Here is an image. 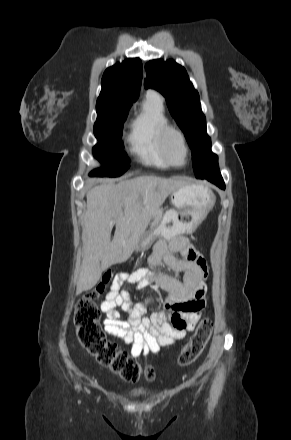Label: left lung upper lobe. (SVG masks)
Masks as SVG:
<instances>
[{
  "label": "left lung upper lobe",
  "mask_w": 291,
  "mask_h": 440,
  "mask_svg": "<svg viewBox=\"0 0 291 440\" xmlns=\"http://www.w3.org/2000/svg\"><path fill=\"white\" fill-rule=\"evenodd\" d=\"M145 71L144 87L156 89L166 98L171 115L185 134L192 150L196 178L203 179L218 172V157L211 151L199 94L184 67L173 60L164 62L158 59L149 61Z\"/></svg>",
  "instance_id": "left-lung-upper-lobe-1"
}]
</instances>
